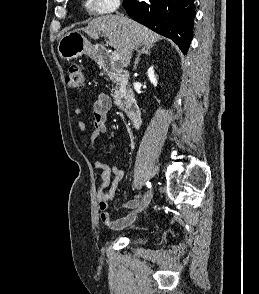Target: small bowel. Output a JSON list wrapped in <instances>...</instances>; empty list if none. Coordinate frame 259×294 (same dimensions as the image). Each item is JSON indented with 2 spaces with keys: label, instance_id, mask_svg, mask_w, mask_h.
<instances>
[{
  "label": "small bowel",
  "instance_id": "obj_1",
  "mask_svg": "<svg viewBox=\"0 0 259 294\" xmlns=\"http://www.w3.org/2000/svg\"><path fill=\"white\" fill-rule=\"evenodd\" d=\"M111 107V99L106 94H99L95 100L92 109V119L94 129L89 135V146L92 152L97 151V140L105 132V116ZM83 113L81 108H76L74 114L80 117ZM81 131H86V125L83 121L78 122ZM94 166L100 173L101 185L97 193V199L100 209V219L105 227L110 230H121L130 225L136 215V209L140 204L139 199L133 198L123 204V208L128 210V214L120 219H113L108 212L109 202L113 199L116 186L126 177V172L117 166H111L101 161H95Z\"/></svg>",
  "mask_w": 259,
  "mask_h": 294
}]
</instances>
